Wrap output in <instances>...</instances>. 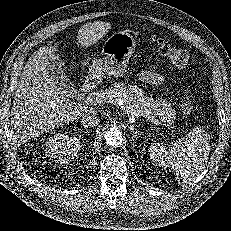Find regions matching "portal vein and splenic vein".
Returning a JSON list of instances; mask_svg holds the SVG:
<instances>
[{"label":"portal vein and splenic vein","instance_id":"obj_1","mask_svg":"<svg viewBox=\"0 0 231 231\" xmlns=\"http://www.w3.org/2000/svg\"><path fill=\"white\" fill-rule=\"evenodd\" d=\"M104 102V98L100 95H94V96H88L86 98V103L91 104V105H96V104H101ZM146 118H148L151 122H153L154 124H158V120L155 119L154 117H150V116H145ZM130 122H135V119L132 117L130 119Z\"/></svg>","mask_w":231,"mask_h":231}]
</instances>
